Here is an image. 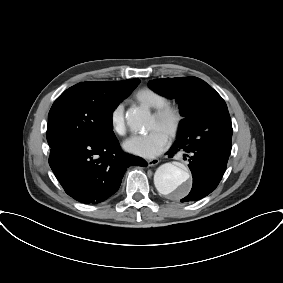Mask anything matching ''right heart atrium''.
<instances>
[{
    "instance_id": "1",
    "label": "right heart atrium",
    "mask_w": 283,
    "mask_h": 283,
    "mask_svg": "<svg viewBox=\"0 0 283 283\" xmlns=\"http://www.w3.org/2000/svg\"><path fill=\"white\" fill-rule=\"evenodd\" d=\"M110 124L117 135L122 136L126 133L125 107L123 103H118L111 110Z\"/></svg>"
}]
</instances>
